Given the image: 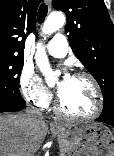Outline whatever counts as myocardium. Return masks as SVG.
<instances>
[{
	"label": "myocardium",
	"mask_w": 114,
	"mask_h": 156,
	"mask_svg": "<svg viewBox=\"0 0 114 156\" xmlns=\"http://www.w3.org/2000/svg\"><path fill=\"white\" fill-rule=\"evenodd\" d=\"M72 77L85 78L91 83V85L93 86L94 92H95V97H96L95 108L91 113L86 114V115H72V114L67 113L63 109V107L61 105L60 98L58 96V98L56 99L55 111L60 116L66 118V119H69V120L85 121V120H91V119L96 118L101 113V111L103 109V95H102L101 87H100L98 81L92 74H90L86 71H78Z\"/></svg>",
	"instance_id": "f54148a6"
}]
</instances>
